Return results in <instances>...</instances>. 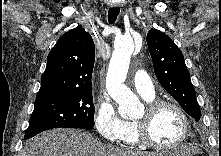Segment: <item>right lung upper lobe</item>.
I'll return each mask as SVG.
<instances>
[{"instance_id":"obj_1","label":"right lung upper lobe","mask_w":221,"mask_h":156,"mask_svg":"<svg viewBox=\"0 0 221 156\" xmlns=\"http://www.w3.org/2000/svg\"><path fill=\"white\" fill-rule=\"evenodd\" d=\"M94 62L95 46L90 34L79 26L69 30L48 54L37 98L92 90Z\"/></svg>"}]
</instances>
